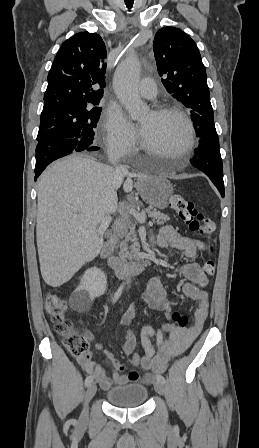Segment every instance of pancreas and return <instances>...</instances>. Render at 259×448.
<instances>
[{
    "label": "pancreas",
    "instance_id": "pancreas-1",
    "mask_svg": "<svg viewBox=\"0 0 259 448\" xmlns=\"http://www.w3.org/2000/svg\"><path fill=\"white\" fill-rule=\"evenodd\" d=\"M145 212H147L148 218H152L153 224H158V226H163L169 220L168 216L153 210V208H146ZM128 242H133L132 246H128ZM120 248L119 256L123 262L139 258L140 244L137 242L135 228H131L130 232H127V236H125L124 242H121Z\"/></svg>",
    "mask_w": 259,
    "mask_h": 448
}]
</instances>
